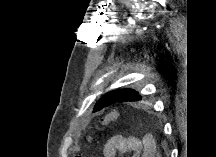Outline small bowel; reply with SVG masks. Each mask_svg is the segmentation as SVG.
<instances>
[{
  "label": "small bowel",
  "mask_w": 216,
  "mask_h": 157,
  "mask_svg": "<svg viewBox=\"0 0 216 157\" xmlns=\"http://www.w3.org/2000/svg\"><path fill=\"white\" fill-rule=\"evenodd\" d=\"M131 154L134 157H154L156 142L151 134L142 138L134 136H113L104 146V157H115L117 153Z\"/></svg>",
  "instance_id": "obj_1"
}]
</instances>
